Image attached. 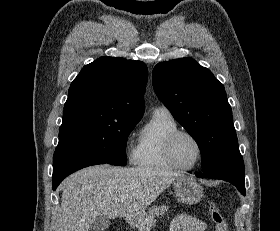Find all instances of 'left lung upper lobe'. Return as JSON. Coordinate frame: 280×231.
I'll return each mask as SVG.
<instances>
[{"label": "left lung upper lobe", "mask_w": 280, "mask_h": 231, "mask_svg": "<svg viewBox=\"0 0 280 231\" xmlns=\"http://www.w3.org/2000/svg\"><path fill=\"white\" fill-rule=\"evenodd\" d=\"M153 87L174 118L197 142L203 171L239 153L231 106L224 86L192 58L155 66Z\"/></svg>", "instance_id": "5c2ea615"}]
</instances>
